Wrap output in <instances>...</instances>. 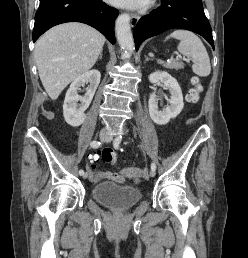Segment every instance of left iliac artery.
I'll return each instance as SVG.
<instances>
[{
	"mask_svg": "<svg viewBox=\"0 0 248 258\" xmlns=\"http://www.w3.org/2000/svg\"><path fill=\"white\" fill-rule=\"evenodd\" d=\"M121 140H122V136L121 135L116 137V139L113 142V146H114L115 149L119 148ZM151 170H154V171L156 170V164L154 162L151 163Z\"/></svg>",
	"mask_w": 248,
	"mask_h": 258,
	"instance_id": "left-iliac-artery-1",
	"label": "left iliac artery"
}]
</instances>
